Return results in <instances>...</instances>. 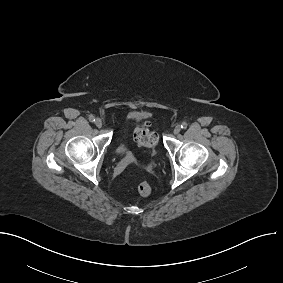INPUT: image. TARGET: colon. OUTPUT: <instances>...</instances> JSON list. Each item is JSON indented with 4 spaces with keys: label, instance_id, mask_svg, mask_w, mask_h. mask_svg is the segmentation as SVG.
Here are the masks:
<instances>
[{
    "label": "colon",
    "instance_id": "obj_1",
    "mask_svg": "<svg viewBox=\"0 0 283 283\" xmlns=\"http://www.w3.org/2000/svg\"><path fill=\"white\" fill-rule=\"evenodd\" d=\"M134 139L140 146L146 149H150L154 144V135L144 124L138 125L135 128ZM129 173L132 174L133 170H129ZM138 190L142 196H148L151 193V186L147 182H142Z\"/></svg>",
    "mask_w": 283,
    "mask_h": 283
}]
</instances>
